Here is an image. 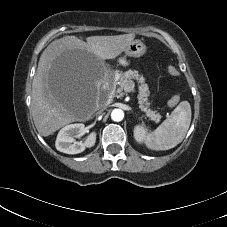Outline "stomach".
<instances>
[{
    "instance_id": "1",
    "label": "stomach",
    "mask_w": 227,
    "mask_h": 227,
    "mask_svg": "<svg viewBox=\"0 0 227 227\" xmlns=\"http://www.w3.org/2000/svg\"><path fill=\"white\" fill-rule=\"evenodd\" d=\"M146 51V45L141 40H133L125 49V56L140 57ZM122 65H127L128 62L125 57L119 59Z\"/></svg>"
}]
</instances>
